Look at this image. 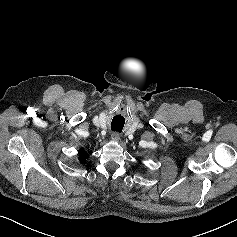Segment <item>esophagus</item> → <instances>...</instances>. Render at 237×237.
<instances>
[{"label":"esophagus","instance_id":"obj_1","mask_svg":"<svg viewBox=\"0 0 237 237\" xmlns=\"http://www.w3.org/2000/svg\"><path fill=\"white\" fill-rule=\"evenodd\" d=\"M111 139L113 140V141H119V139H120V135L118 134V133H112V135H111Z\"/></svg>","mask_w":237,"mask_h":237}]
</instances>
